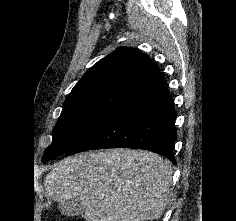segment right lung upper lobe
<instances>
[{
	"label": "right lung upper lobe",
	"mask_w": 236,
	"mask_h": 221,
	"mask_svg": "<svg viewBox=\"0 0 236 221\" xmlns=\"http://www.w3.org/2000/svg\"><path fill=\"white\" fill-rule=\"evenodd\" d=\"M161 78L159 68L147 55L131 47H119L84 74L65 103L94 92L123 90L137 93Z\"/></svg>",
	"instance_id": "1"
}]
</instances>
